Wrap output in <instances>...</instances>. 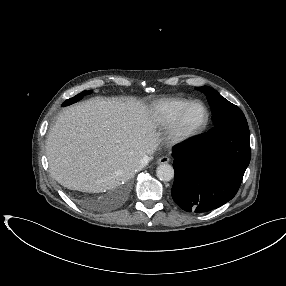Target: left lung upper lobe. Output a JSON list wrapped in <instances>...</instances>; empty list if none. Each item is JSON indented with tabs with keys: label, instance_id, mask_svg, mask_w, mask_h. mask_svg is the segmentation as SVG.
Here are the masks:
<instances>
[{
	"label": "left lung upper lobe",
	"instance_id": "obj_1",
	"mask_svg": "<svg viewBox=\"0 0 286 286\" xmlns=\"http://www.w3.org/2000/svg\"><path fill=\"white\" fill-rule=\"evenodd\" d=\"M197 90L203 92L213 114L214 126L229 122L247 123V120L239 107L222 97L215 89L203 86Z\"/></svg>",
	"mask_w": 286,
	"mask_h": 286
}]
</instances>
